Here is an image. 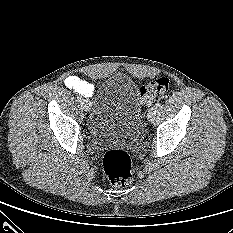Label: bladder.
Returning <instances> with one entry per match:
<instances>
[{"mask_svg":"<svg viewBox=\"0 0 233 233\" xmlns=\"http://www.w3.org/2000/svg\"><path fill=\"white\" fill-rule=\"evenodd\" d=\"M98 145H137L142 139V106L136 83L125 74H115L101 86L89 123Z\"/></svg>","mask_w":233,"mask_h":233,"instance_id":"obj_1","label":"bladder"}]
</instances>
